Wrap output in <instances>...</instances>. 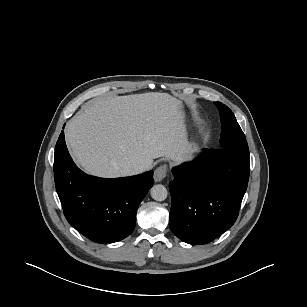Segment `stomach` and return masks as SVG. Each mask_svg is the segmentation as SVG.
<instances>
[{
    "mask_svg": "<svg viewBox=\"0 0 307 307\" xmlns=\"http://www.w3.org/2000/svg\"><path fill=\"white\" fill-rule=\"evenodd\" d=\"M196 150V145L194 142H189V150L187 153V157H189L190 155H192V153Z\"/></svg>",
    "mask_w": 307,
    "mask_h": 307,
    "instance_id": "stomach-1",
    "label": "stomach"
}]
</instances>
